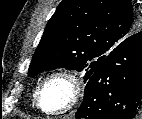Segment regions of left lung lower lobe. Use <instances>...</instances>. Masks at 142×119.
Listing matches in <instances>:
<instances>
[{
    "label": "left lung lower lobe",
    "instance_id": "0a47b994",
    "mask_svg": "<svg viewBox=\"0 0 142 119\" xmlns=\"http://www.w3.org/2000/svg\"><path fill=\"white\" fill-rule=\"evenodd\" d=\"M142 31L120 42L87 81L82 105L75 116L83 119H141Z\"/></svg>",
    "mask_w": 142,
    "mask_h": 119
}]
</instances>
